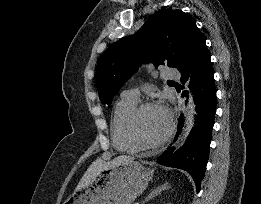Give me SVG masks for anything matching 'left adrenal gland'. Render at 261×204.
<instances>
[{"instance_id": "left-adrenal-gland-1", "label": "left adrenal gland", "mask_w": 261, "mask_h": 204, "mask_svg": "<svg viewBox=\"0 0 261 204\" xmlns=\"http://www.w3.org/2000/svg\"><path fill=\"white\" fill-rule=\"evenodd\" d=\"M168 184H164V185H161L153 190H151V192L147 195V197L145 198V200L143 201V204L148 202L150 199H153L155 196L161 194L162 191L168 189Z\"/></svg>"}]
</instances>
